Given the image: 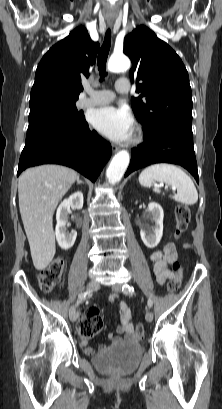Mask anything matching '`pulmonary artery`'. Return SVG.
Masks as SVG:
<instances>
[{
  "mask_svg": "<svg viewBox=\"0 0 222 409\" xmlns=\"http://www.w3.org/2000/svg\"><path fill=\"white\" fill-rule=\"evenodd\" d=\"M115 90L124 94L129 91V86L123 81H117ZM115 98V93L111 90H95L91 86H86V96L79 101L80 106H97L108 104Z\"/></svg>",
  "mask_w": 222,
  "mask_h": 409,
  "instance_id": "obj_1",
  "label": "pulmonary artery"
}]
</instances>
